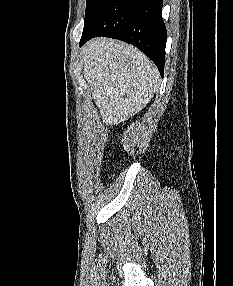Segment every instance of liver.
Wrapping results in <instances>:
<instances>
[{
    "instance_id": "1",
    "label": "liver",
    "mask_w": 233,
    "mask_h": 286,
    "mask_svg": "<svg viewBox=\"0 0 233 286\" xmlns=\"http://www.w3.org/2000/svg\"><path fill=\"white\" fill-rule=\"evenodd\" d=\"M82 54L84 77L106 124L132 118L159 87L158 69L132 45L96 38L84 45Z\"/></svg>"
}]
</instances>
